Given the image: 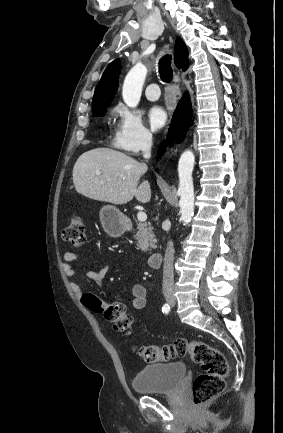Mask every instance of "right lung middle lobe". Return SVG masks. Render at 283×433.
Returning <instances> with one entry per match:
<instances>
[{
  "instance_id": "1",
  "label": "right lung middle lobe",
  "mask_w": 283,
  "mask_h": 433,
  "mask_svg": "<svg viewBox=\"0 0 283 433\" xmlns=\"http://www.w3.org/2000/svg\"><path fill=\"white\" fill-rule=\"evenodd\" d=\"M107 106L92 111L94 116H103L106 113Z\"/></svg>"
}]
</instances>
